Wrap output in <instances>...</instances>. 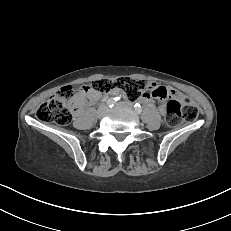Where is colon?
Segmentation results:
<instances>
[{
	"label": "colon",
	"instance_id": "1",
	"mask_svg": "<svg viewBox=\"0 0 231 231\" xmlns=\"http://www.w3.org/2000/svg\"><path fill=\"white\" fill-rule=\"evenodd\" d=\"M90 89L96 93H106L111 90L123 92L129 99L135 100L147 91L146 84L140 79L115 78L94 81ZM78 93V88L65 86L49 100L42 103L36 116L42 122L67 125L72 120V102ZM165 123L175 126L182 121L193 122L199 117V109L188 96L180 100H170L164 106Z\"/></svg>",
	"mask_w": 231,
	"mask_h": 231
}]
</instances>
